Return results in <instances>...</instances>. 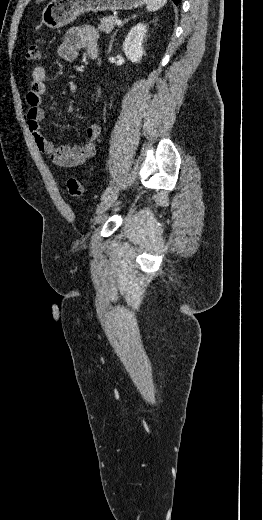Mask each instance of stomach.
I'll return each mask as SVG.
<instances>
[{
    "label": "stomach",
    "mask_w": 263,
    "mask_h": 520,
    "mask_svg": "<svg viewBox=\"0 0 263 520\" xmlns=\"http://www.w3.org/2000/svg\"><path fill=\"white\" fill-rule=\"evenodd\" d=\"M147 0H51L42 12V23L52 29L73 22L86 12L130 10Z\"/></svg>",
    "instance_id": "stomach-1"
}]
</instances>
